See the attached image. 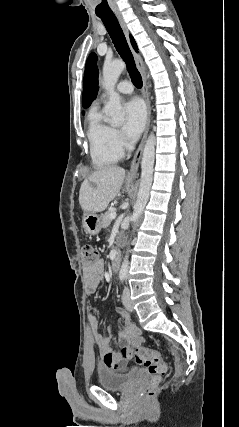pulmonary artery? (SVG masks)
Masks as SVG:
<instances>
[{
	"label": "pulmonary artery",
	"mask_w": 239,
	"mask_h": 427,
	"mask_svg": "<svg viewBox=\"0 0 239 427\" xmlns=\"http://www.w3.org/2000/svg\"><path fill=\"white\" fill-rule=\"evenodd\" d=\"M116 90L120 94H131L133 91V87L130 82L124 80L118 83V85L116 86ZM107 96V92L102 93L101 100H105Z\"/></svg>",
	"instance_id": "1"
}]
</instances>
